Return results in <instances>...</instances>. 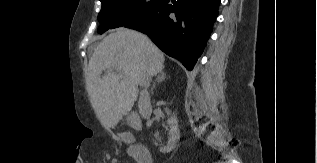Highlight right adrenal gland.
<instances>
[{"instance_id": "right-adrenal-gland-1", "label": "right adrenal gland", "mask_w": 317, "mask_h": 163, "mask_svg": "<svg viewBox=\"0 0 317 163\" xmlns=\"http://www.w3.org/2000/svg\"><path fill=\"white\" fill-rule=\"evenodd\" d=\"M166 79V73L164 71H161L159 75L157 76L156 80L153 82V86L151 88L152 94H153V89L155 88L156 83L162 82Z\"/></svg>"}]
</instances>
